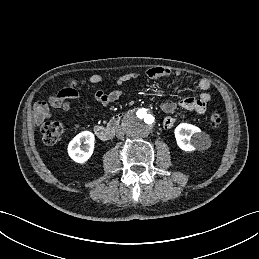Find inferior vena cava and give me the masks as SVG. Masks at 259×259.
Instances as JSON below:
<instances>
[{
  "instance_id": "1",
  "label": "inferior vena cava",
  "mask_w": 259,
  "mask_h": 259,
  "mask_svg": "<svg viewBox=\"0 0 259 259\" xmlns=\"http://www.w3.org/2000/svg\"><path fill=\"white\" fill-rule=\"evenodd\" d=\"M124 134H125V129H124V128L120 127V128L117 129V131H116V137H117L118 139L123 138V137H124Z\"/></svg>"
}]
</instances>
